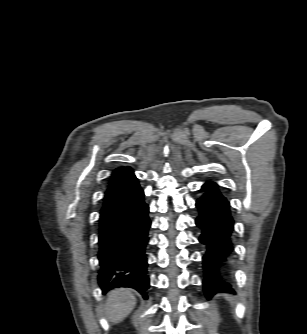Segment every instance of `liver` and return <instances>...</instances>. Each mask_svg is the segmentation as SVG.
Listing matches in <instances>:
<instances>
[{
    "mask_svg": "<svg viewBox=\"0 0 307 334\" xmlns=\"http://www.w3.org/2000/svg\"><path fill=\"white\" fill-rule=\"evenodd\" d=\"M136 305V298L131 289H114L108 293L105 313L112 323H119L127 317Z\"/></svg>",
    "mask_w": 307,
    "mask_h": 334,
    "instance_id": "liver-1",
    "label": "liver"
}]
</instances>
